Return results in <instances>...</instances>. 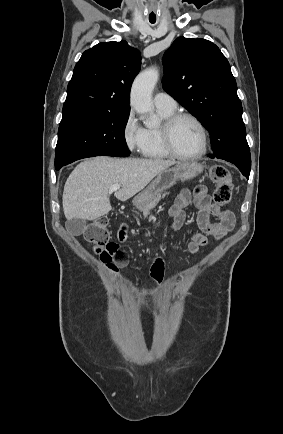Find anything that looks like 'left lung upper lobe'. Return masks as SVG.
<instances>
[{"mask_svg":"<svg viewBox=\"0 0 283 434\" xmlns=\"http://www.w3.org/2000/svg\"><path fill=\"white\" fill-rule=\"evenodd\" d=\"M163 64L164 90L209 131L210 157L251 163L236 80L220 49L205 39L179 37Z\"/></svg>","mask_w":283,"mask_h":434,"instance_id":"5c2ea615","label":"left lung upper lobe"}]
</instances>
